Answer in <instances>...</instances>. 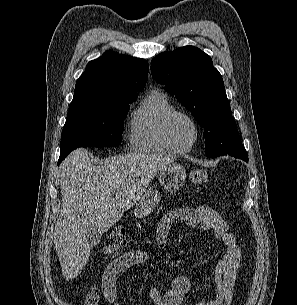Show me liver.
Masks as SVG:
<instances>
[{"label": "liver", "instance_id": "1", "mask_svg": "<svg viewBox=\"0 0 297 305\" xmlns=\"http://www.w3.org/2000/svg\"><path fill=\"white\" fill-rule=\"evenodd\" d=\"M84 148L73 151L60 165L62 207L54 232V247L66 281L76 278L87 264L89 226L101 233L143 196L152 178L171 164L170 155L130 153L92 164Z\"/></svg>", "mask_w": 297, "mask_h": 305}]
</instances>
